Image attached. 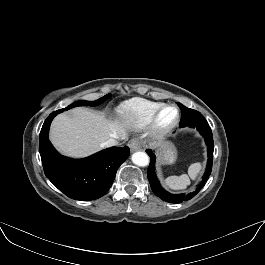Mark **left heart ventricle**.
Returning a JSON list of instances; mask_svg holds the SVG:
<instances>
[{
  "mask_svg": "<svg viewBox=\"0 0 265 265\" xmlns=\"http://www.w3.org/2000/svg\"><path fill=\"white\" fill-rule=\"evenodd\" d=\"M176 115V111L174 108H167L161 116V123L162 124H167L171 122Z\"/></svg>",
  "mask_w": 265,
  "mask_h": 265,
  "instance_id": "b2bd125f",
  "label": "left heart ventricle"
}]
</instances>
